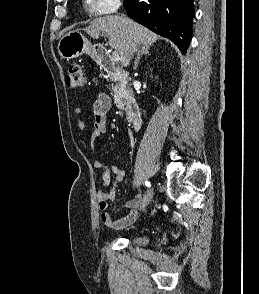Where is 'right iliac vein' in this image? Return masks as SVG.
Masks as SVG:
<instances>
[{
	"label": "right iliac vein",
	"instance_id": "63e3f726",
	"mask_svg": "<svg viewBox=\"0 0 259 294\" xmlns=\"http://www.w3.org/2000/svg\"><path fill=\"white\" fill-rule=\"evenodd\" d=\"M152 197H153V188L151 187L147 190L142 200V203L140 205V210H144L147 207V205L151 202Z\"/></svg>",
	"mask_w": 259,
	"mask_h": 294
}]
</instances>
